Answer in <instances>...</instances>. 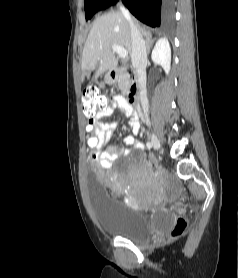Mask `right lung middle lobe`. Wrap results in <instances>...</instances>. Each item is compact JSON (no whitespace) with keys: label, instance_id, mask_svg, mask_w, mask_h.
<instances>
[{"label":"right lung middle lobe","instance_id":"obj_1","mask_svg":"<svg viewBox=\"0 0 238 278\" xmlns=\"http://www.w3.org/2000/svg\"><path fill=\"white\" fill-rule=\"evenodd\" d=\"M105 1L106 0H86L84 3L86 20L91 19Z\"/></svg>","mask_w":238,"mask_h":278}]
</instances>
